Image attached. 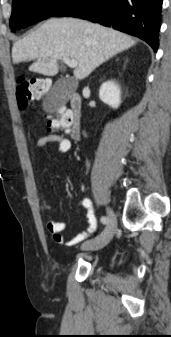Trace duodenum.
I'll return each instance as SVG.
<instances>
[{
  "instance_id": "1",
  "label": "duodenum",
  "mask_w": 171,
  "mask_h": 337,
  "mask_svg": "<svg viewBox=\"0 0 171 337\" xmlns=\"http://www.w3.org/2000/svg\"><path fill=\"white\" fill-rule=\"evenodd\" d=\"M70 108L65 111L69 117L70 135L74 139L80 137V111H81V98L77 92H73L70 96Z\"/></svg>"
}]
</instances>
